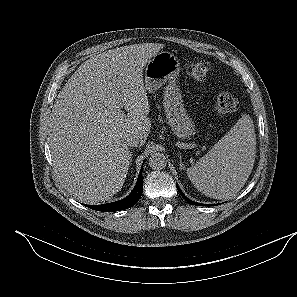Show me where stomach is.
I'll use <instances>...</instances> for the list:
<instances>
[{
	"instance_id": "1",
	"label": "stomach",
	"mask_w": 297,
	"mask_h": 297,
	"mask_svg": "<svg viewBox=\"0 0 297 297\" xmlns=\"http://www.w3.org/2000/svg\"><path fill=\"white\" fill-rule=\"evenodd\" d=\"M179 72L180 62L173 53L158 52L145 67V88L154 92L167 84L163 100L167 122L178 138L187 139L194 135L196 130L193 120L184 108L177 86Z\"/></svg>"
}]
</instances>
